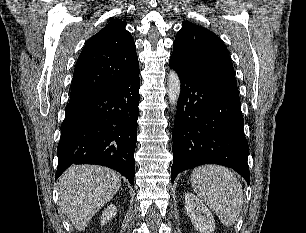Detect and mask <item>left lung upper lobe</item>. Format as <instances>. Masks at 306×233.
Instances as JSON below:
<instances>
[{"instance_id":"1","label":"left lung upper lobe","mask_w":306,"mask_h":233,"mask_svg":"<svg viewBox=\"0 0 306 233\" xmlns=\"http://www.w3.org/2000/svg\"><path fill=\"white\" fill-rule=\"evenodd\" d=\"M171 57L191 71L237 83L224 43L212 31L189 21L182 23Z\"/></svg>"}]
</instances>
